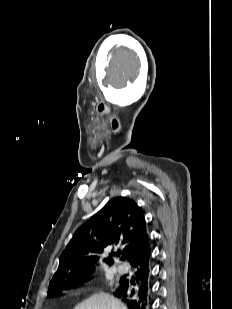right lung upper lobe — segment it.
<instances>
[{
    "label": "right lung upper lobe",
    "mask_w": 232,
    "mask_h": 309,
    "mask_svg": "<svg viewBox=\"0 0 232 309\" xmlns=\"http://www.w3.org/2000/svg\"><path fill=\"white\" fill-rule=\"evenodd\" d=\"M115 248L119 251L111 252V255H119L122 250L121 259L131 265L151 253L142 209L125 197L110 200L75 231L60 257L58 270L49 288L57 282L92 274L99 255L104 250L113 251ZM104 261L108 265L114 263L111 257Z\"/></svg>",
    "instance_id": "right-lung-upper-lobe-1"
}]
</instances>
